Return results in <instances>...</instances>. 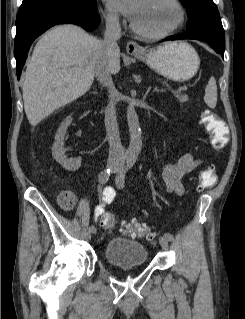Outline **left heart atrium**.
<instances>
[{
  "mask_svg": "<svg viewBox=\"0 0 245 319\" xmlns=\"http://www.w3.org/2000/svg\"><path fill=\"white\" fill-rule=\"evenodd\" d=\"M111 6L120 10L130 20L137 16L143 0H106Z\"/></svg>",
  "mask_w": 245,
  "mask_h": 319,
  "instance_id": "left-heart-atrium-1",
  "label": "left heart atrium"
}]
</instances>
